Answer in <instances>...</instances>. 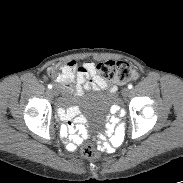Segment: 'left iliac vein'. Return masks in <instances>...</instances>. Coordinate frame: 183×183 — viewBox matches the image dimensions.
<instances>
[{"label":"left iliac vein","mask_w":183,"mask_h":183,"mask_svg":"<svg viewBox=\"0 0 183 183\" xmlns=\"http://www.w3.org/2000/svg\"><path fill=\"white\" fill-rule=\"evenodd\" d=\"M129 94H130L129 88H124V89L122 90V95H123L124 97L129 96Z\"/></svg>","instance_id":"obj_1"}]
</instances>
